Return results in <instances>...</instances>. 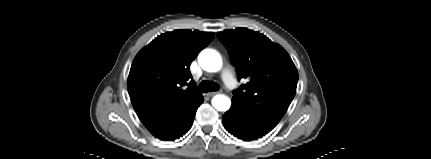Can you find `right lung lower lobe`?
Instances as JSON below:
<instances>
[{"label": "right lung lower lobe", "mask_w": 431, "mask_h": 159, "mask_svg": "<svg viewBox=\"0 0 431 159\" xmlns=\"http://www.w3.org/2000/svg\"><path fill=\"white\" fill-rule=\"evenodd\" d=\"M203 101H204V98L203 96H201L195 103H193L189 107V109L182 116L179 122L170 131H168L164 136L160 137L159 139L164 141H173L183 136L191 128L196 111L198 107L203 103Z\"/></svg>", "instance_id": "obj_1"}]
</instances>
